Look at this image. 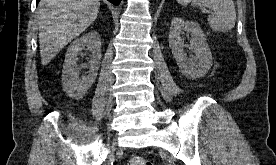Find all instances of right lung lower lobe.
I'll use <instances>...</instances> for the list:
<instances>
[{
  "label": "right lung lower lobe",
  "instance_id": "1",
  "mask_svg": "<svg viewBox=\"0 0 276 165\" xmlns=\"http://www.w3.org/2000/svg\"><path fill=\"white\" fill-rule=\"evenodd\" d=\"M40 0H37V3L39 2ZM110 1L111 3H113L114 5H119L121 0H108Z\"/></svg>",
  "mask_w": 276,
  "mask_h": 165
}]
</instances>
